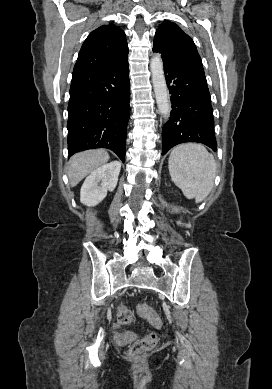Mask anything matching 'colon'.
<instances>
[{
	"label": "colon",
	"instance_id": "5ec220e1",
	"mask_svg": "<svg viewBox=\"0 0 272 389\" xmlns=\"http://www.w3.org/2000/svg\"><path fill=\"white\" fill-rule=\"evenodd\" d=\"M137 312L141 317L146 318L153 326L160 328L162 325L161 318L158 314L147 304H140L137 307ZM118 321L123 325H130L134 322V313L126 306H119L117 308ZM157 334L150 332L146 334L141 340L134 343L130 350L129 355L133 359H137L151 350L157 343Z\"/></svg>",
	"mask_w": 272,
	"mask_h": 389
}]
</instances>
